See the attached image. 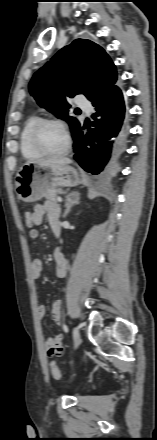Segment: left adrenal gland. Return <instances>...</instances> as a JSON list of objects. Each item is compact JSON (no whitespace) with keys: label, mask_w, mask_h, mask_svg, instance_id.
I'll list each match as a JSON object with an SVG mask.
<instances>
[{"label":"left adrenal gland","mask_w":157,"mask_h":440,"mask_svg":"<svg viewBox=\"0 0 157 440\" xmlns=\"http://www.w3.org/2000/svg\"><path fill=\"white\" fill-rule=\"evenodd\" d=\"M79 200H80L79 194H73V193H71V194H69V195L67 196V198H66V202H65V208H66V209H65V212H64V214H63V218H66V217H67L68 213L71 211V208H72L74 205H77V204L80 203Z\"/></svg>","instance_id":"obj_1"}]
</instances>
